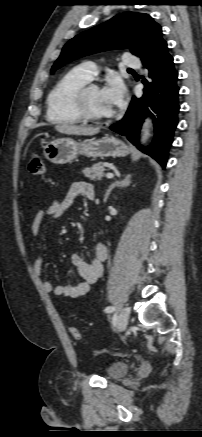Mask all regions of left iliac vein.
Returning <instances> with one entry per match:
<instances>
[{
	"label": "left iliac vein",
	"instance_id": "4c4485c4",
	"mask_svg": "<svg viewBox=\"0 0 202 437\" xmlns=\"http://www.w3.org/2000/svg\"><path fill=\"white\" fill-rule=\"evenodd\" d=\"M129 316H130V309L129 307H124L117 319V330L118 331H123L128 324V320H129Z\"/></svg>",
	"mask_w": 202,
	"mask_h": 437
}]
</instances>
